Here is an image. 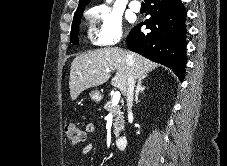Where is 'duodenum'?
<instances>
[{"label": "duodenum", "mask_w": 227, "mask_h": 166, "mask_svg": "<svg viewBox=\"0 0 227 166\" xmlns=\"http://www.w3.org/2000/svg\"><path fill=\"white\" fill-rule=\"evenodd\" d=\"M127 146V137L125 135H119L116 139V147L119 150H124Z\"/></svg>", "instance_id": "duodenum-1"}]
</instances>
